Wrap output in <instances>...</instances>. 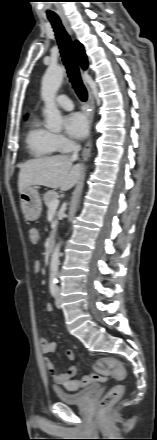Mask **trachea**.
Returning a JSON list of instances; mask_svg holds the SVG:
<instances>
[{
  "label": "trachea",
  "instance_id": "trachea-1",
  "mask_svg": "<svg viewBox=\"0 0 157 440\" xmlns=\"http://www.w3.org/2000/svg\"><path fill=\"white\" fill-rule=\"evenodd\" d=\"M55 31L63 63L67 69L68 77L81 101L87 100V90L83 85L78 63L75 57L72 41L64 30L58 18H49Z\"/></svg>",
  "mask_w": 157,
  "mask_h": 440
}]
</instances>
